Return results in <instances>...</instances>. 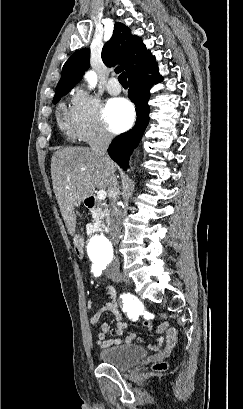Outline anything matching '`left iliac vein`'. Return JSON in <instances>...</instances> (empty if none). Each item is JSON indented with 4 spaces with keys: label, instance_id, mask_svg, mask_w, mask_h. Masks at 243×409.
I'll use <instances>...</instances> for the list:
<instances>
[{
    "label": "left iliac vein",
    "instance_id": "left-iliac-vein-1",
    "mask_svg": "<svg viewBox=\"0 0 243 409\" xmlns=\"http://www.w3.org/2000/svg\"><path fill=\"white\" fill-rule=\"evenodd\" d=\"M111 278H112V280L115 281V282H120V281H121V279L118 278V277H116L115 275H111Z\"/></svg>",
    "mask_w": 243,
    "mask_h": 409
}]
</instances>
